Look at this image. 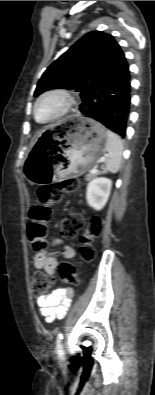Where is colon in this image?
Segmentation results:
<instances>
[{"label": "colon", "instance_id": "obj_1", "mask_svg": "<svg viewBox=\"0 0 155 395\" xmlns=\"http://www.w3.org/2000/svg\"><path fill=\"white\" fill-rule=\"evenodd\" d=\"M78 182L74 179L65 180L62 183L43 185L37 191L40 206L34 208L30 214L27 226V235L30 245L39 251L46 249V225L45 221L50 208L61 202L63 195L77 189ZM83 226V218L78 213H71L61 223L60 229L63 236L73 238ZM103 233V222L99 217H93L87 224L81 237L79 253L83 261L89 262L95 258L93 242ZM78 268L68 263H63L58 269L60 281L76 282ZM32 291L35 295L45 294L52 286V281L42 272H35L31 280Z\"/></svg>", "mask_w": 155, "mask_h": 395}]
</instances>
